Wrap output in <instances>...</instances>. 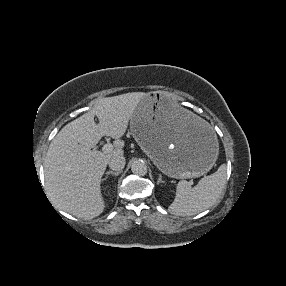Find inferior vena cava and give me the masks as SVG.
<instances>
[{
  "instance_id": "inferior-vena-cava-1",
  "label": "inferior vena cava",
  "mask_w": 286,
  "mask_h": 286,
  "mask_svg": "<svg viewBox=\"0 0 286 286\" xmlns=\"http://www.w3.org/2000/svg\"><path fill=\"white\" fill-rule=\"evenodd\" d=\"M125 158L123 155H114L108 162L110 169L121 171L125 167Z\"/></svg>"
}]
</instances>
